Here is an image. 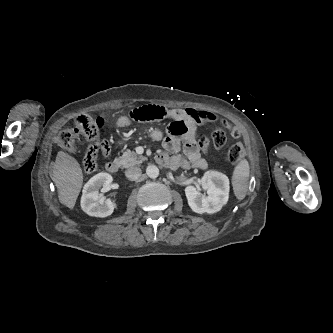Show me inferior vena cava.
<instances>
[{
    "label": "inferior vena cava",
    "mask_w": 333,
    "mask_h": 333,
    "mask_svg": "<svg viewBox=\"0 0 333 333\" xmlns=\"http://www.w3.org/2000/svg\"><path fill=\"white\" fill-rule=\"evenodd\" d=\"M141 174L142 171L139 167H130L125 171L126 177L131 181L138 180Z\"/></svg>",
    "instance_id": "obj_1"
}]
</instances>
